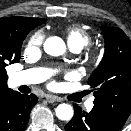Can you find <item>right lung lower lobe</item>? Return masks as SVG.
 <instances>
[{
    "label": "right lung lower lobe",
    "mask_w": 131,
    "mask_h": 131,
    "mask_svg": "<svg viewBox=\"0 0 131 131\" xmlns=\"http://www.w3.org/2000/svg\"><path fill=\"white\" fill-rule=\"evenodd\" d=\"M38 98L13 92L0 97V131H25L31 109Z\"/></svg>",
    "instance_id": "1"
}]
</instances>
